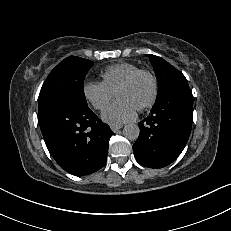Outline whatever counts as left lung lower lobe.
<instances>
[{"label": "left lung lower lobe", "instance_id": "0a47b994", "mask_svg": "<svg viewBox=\"0 0 231 231\" xmlns=\"http://www.w3.org/2000/svg\"><path fill=\"white\" fill-rule=\"evenodd\" d=\"M193 96L188 85L169 89L156 99L151 113L139 124L140 135L133 145L136 160L149 168L172 163L190 135Z\"/></svg>", "mask_w": 231, "mask_h": 231}]
</instances>
